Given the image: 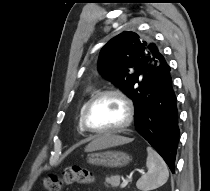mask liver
I'll return each mask as SVG.
<instances>
[{
  "label": "liver",
  "mask_w": 210,
  "mask_h": 191,
  "mask_svg": "<svg viewBox=\"0 0 210 191\" xmlns=\"http://www.w3.org/2000/svg\"><path fill=\"white\" fill-rule=\"evenodd\" d=\"M131 141L132 139L123 136H118L114 134H104L102 136H98L91 143H89L88 146L85 148V151L92 152L112 146L123 145Z\"/></svg>",
  "instance_id": "6515ba94"
}]
</instances>
